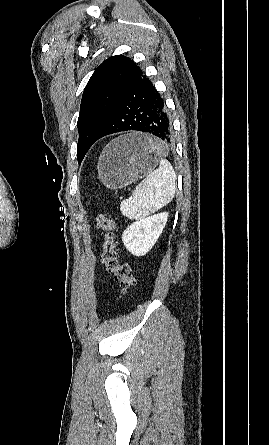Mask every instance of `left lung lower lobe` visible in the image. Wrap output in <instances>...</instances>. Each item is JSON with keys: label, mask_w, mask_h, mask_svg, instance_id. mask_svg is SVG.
<instances>
[{"label": "left lung lower lobe", "mask_w": 269, "mask_h": 445, "mask_svg": "<svg viewBox=\"0 0 269 445\" xmlns=\"http://www.w3.org/2000/svg\"><path fill=\"white\" fill-rule=\"evenodd\" d=\"M127 130L150 133L165 143H169L172 138V125L165 102L138 66L95 141L109 134Z\"/></svg>", "instance_id": "obj_1"}]
</instances>
